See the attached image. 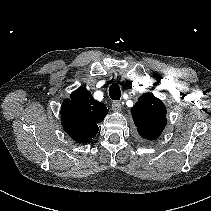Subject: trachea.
<instances>
[{
    "instance_id": "1",
    "label": "trachea",
    "mask_w": 211,
    "mask_h": 211,
    "mask_svg": "<svg viewBox=\"0 0 211 211\" xmlns=\"http://www.w3.org/2000/svg\"><path fill=\"white\" fill-rule=\"evenodd\" d=\"M109 96L112 100H119L121 97V90L117 84H112L109 87Z\"/></svg>"
}]
</instances>
